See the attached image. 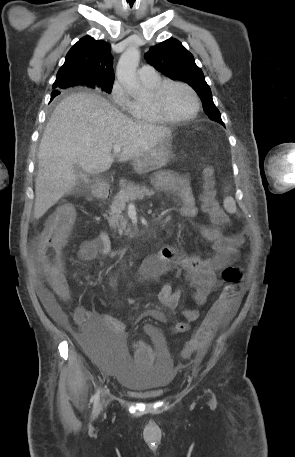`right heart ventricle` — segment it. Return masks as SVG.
I'll return each instance as SVG.
<instances>
[{
    "mask_svg": "<svg viewBox=\"0 0 295 457\" xmlns=\"http://www.w3.org/2000/svg\"><path fill=\"white\" fill-rule=\"evenodd\" d=\"M161 78L158 76L152 80H142L143 84L152 91V89L161 82ZM132 117L141 123L146 124H159L163 121L159 119L154 111L152 110L149 100L145 101H133L132 111L130 112Z\"/></svg>",
    "mask_w": 295,
    "mask_h": 457,
    "instance_id": "obj_1",
    "label": "right heart ventricle"
}]
</instances>
